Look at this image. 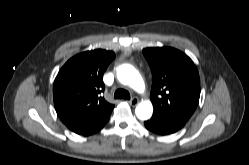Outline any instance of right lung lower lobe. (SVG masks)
Here are the masks:
<instances>
[{
  "instance_id": "1",
  "label": "right lung lower lobe",
  "mask_w": 249,
  "mask_h": 165,
  "mask_svg": "<svg viewBox=\"0 0 249 165\" xmlns=\"http://www.w3.org/2000/svg\"><path fill=\"white\" fill-rule=\"evenodd\" d=\"M106 123H107V122H106ZM106 123H104L102 126H100L99 128H97L96 130H94V131H92V132H90V133H88V134H84V135H91V134L96 133V132L99 131Z\"/></svg>"
}]
</instances>
